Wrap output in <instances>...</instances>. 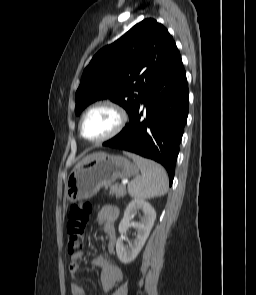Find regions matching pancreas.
I'll list each match as a JSON object with an SVG mask.
<instances>
[{"label": "pancreas", "instance_id": "obj_1", "mask_svg": "<svg viewBox=\"0 0 256 295\" xmlns=\"http://www.w3.org/2000/svg\"><path fill=\"white\" fill-rule=\"evenodd\" d=\"M109 188V193L116 198H121L126 195V186L125 185H120V184H113L106 186V189Z\"/></svg>", "mask_w": 256, "mask_h": 295}]
</instances>
